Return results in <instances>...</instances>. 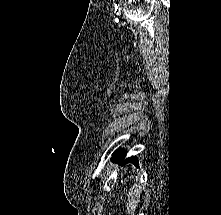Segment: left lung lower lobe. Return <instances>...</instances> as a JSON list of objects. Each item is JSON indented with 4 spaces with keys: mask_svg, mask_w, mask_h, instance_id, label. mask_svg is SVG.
Listing matches in <instances>:
<instances>
[{
    "mask_svg": "<svg viewBox=\"0 0 221 215\" xmlns=\"http://www.w3.org/2000/svg\"><path fill=\"white\" fill-rule=\"evenodd\" d=\"M113 157H114L115 161H117L118 163H121V164H125L127 162H133L136 165H138V161H137L136 156H132V157L127 158L126 160H124V150H122V149L116 150L113 153Z\"/></svg>",
    "mask_w": 221,
    "mask_h": 215,
    "instance_id": "obj_1",
    "label": "left lung lower lobe"
}]
</instances>
